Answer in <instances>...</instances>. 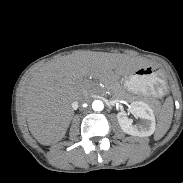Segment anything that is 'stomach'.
I'll return each mask as SVG.
<instances>
[{
	"label": "stomach",
	"instance_id": "obj_1",
	"mask_svg": "<svg viewBox=\"0 0 183 183\" xmlns=\"http://www.w3.org/2000/svg\"><path fill=\"white\" fill-rule=\"evenodd\" d=\"M165 82L159 70L144 66L127 75L122 86L134 94L156 96L163 93Z\"/></svg>",
	"mask_w": 183,
	"mask_h": 183
}]
</instances>
